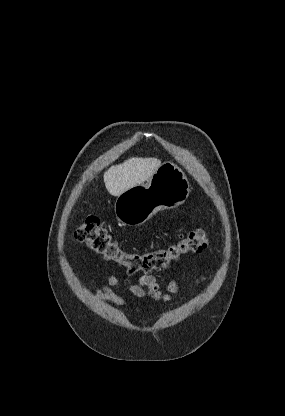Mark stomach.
Returning <instances> with one entry per match:
<instances>
[{"label":"stomach","instance_id":"0dacf381","mask_svg":"<svg viewBox=\"0 0 285 416\" xmlns=\"http://www.w3.org/2000/svg\"><path fill=\"white\" fill-rule=\"evenodd\" d=\"M190 194V184L182 170L164 162L147 180L117 196L114 210L124 226H141L159 210H172L184 204Z\"/></svg>","mask_w":285,"mask_h":416}]
</instances>
